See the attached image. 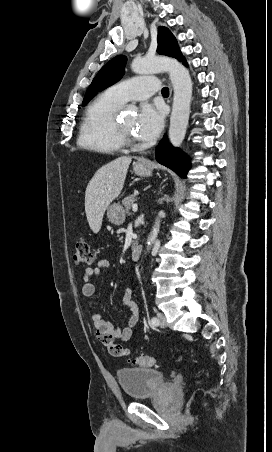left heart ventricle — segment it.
Masks as SVG:
<instances>
[{"label": "left heart ventricle", "instance_id": "obj_1", "mask_svg": "<svg viewBox=\"0 0 272 452\" xmlns=\"http://www.w3.org/2000/svg\"><path fill=\"white\" fill-rule=\"evenodd\" d=\"M122 127L128 132V134L134 139L135 135V120L132 117L123 118L119 121Z\"/></svg>", "mask_w": 272, "mask_h": 452}]
</instances>
